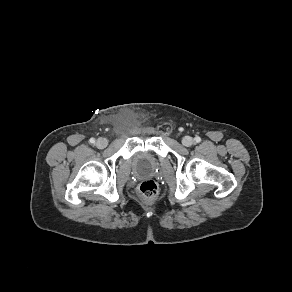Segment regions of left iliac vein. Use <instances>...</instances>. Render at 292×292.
Segmentation results:
<instances>
[{"label":"left iliac vein","mask_w":292,"mask_h":292,"mask_svg":"<svg viewBox=\"0 0 292 292\" xmlns=\"http://www.w3.org/2000/svg\"><path fill=\"white\" fill-rule=\"evenodd\" d=\"M182 143L184 146L186 147H190L194 144V140L192 137L190 136H185L183 139H182Z\"/></svg>","instance_id":"1"}]
</instances>
